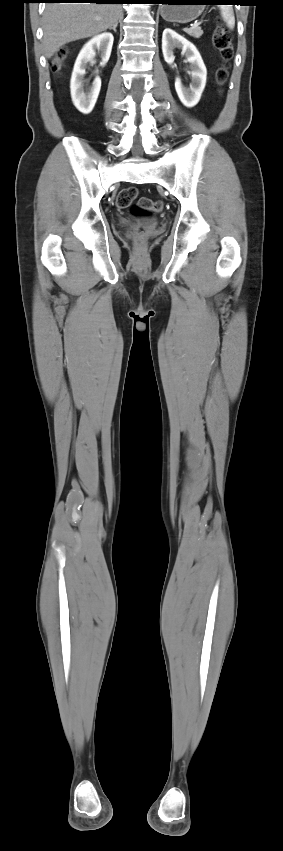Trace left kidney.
<instances>
[{"mask_svg":"<svg viewBox=\"0 0 283 851\" xmlns=\"http://www.w3.org/2000/svg\"><path fill=\"white\" fill-rule=\"evenodd\" d=\"M179 48L186 56L189 63L191 83L185 87L181 79L176 77L175 89L180 101L188 108L194 107L200 100L206 85L207 70L197 48L187 39L170 28H166L162 35V52L164 60L172 65L174 63V49Z\"/></svg>","mask_w":283,"mask_h":851,"instance_id":"obj_1","label":"left kidney"}]
</instances>
